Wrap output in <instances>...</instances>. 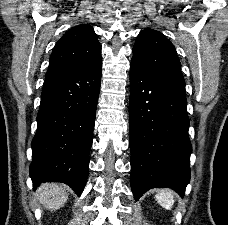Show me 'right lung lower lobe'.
I'll return each mask as SVG.
<instances>
[{"label":"right lung lower lobe","mask_w":228,"mask_h":225,"mask_svg":"<svg viewBox=\"0 0 228 225\" xmlns=\"http://www.w3.org/2000/svg\"><path fill=\"white\" fill-rule=\"evenodd\" d=\"M101 69L102 57L45 78L32 141L34 189L41 182H63L81 194L88 177Z\"/></svg>","instance_id":"98d812e1"}]
</instances>
